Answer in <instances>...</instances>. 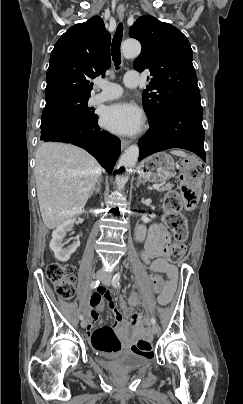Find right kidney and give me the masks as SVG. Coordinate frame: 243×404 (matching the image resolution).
Here are the masks:
<instances>
[{
  "label": "right kidney",
  "mask_w": 243,
  "mask_h": 404,
  "mask_svg": "<svg viewBox=\"0 0 243 404\" xmlns=\"http://www.w3.org/2000/svg\"><path fill=\"white\" fill-rule=\"evenodd\" d=\"M73 226L74 220H66V222H63L61 226H57L56 230L52 232L50 248L52 252H54L55 258L60 260V262H67L71 254H74V252H76L77 248L80 246V242H73V244H71V246H67V248H64V244H62L67 232L72 230Z\"/></svg>",
  "instance_id": "right-kidney-1"
}]
</instances>
